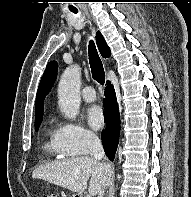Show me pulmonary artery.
<instances>
[{
	"mask_svg": "<svg viewBox=\"0 0 191 197\" xmlns=\"http://www.w3.org/2000/svg\"><path fill=\"white\" fill-rule=\"evenodd\" d=\"M82 98L85 102H94L96 100V94L91 86H86L82 90Z\"/></svg>",
	"mask_w": 191,
	"mask_h": 197,
	"instance_id": "e3ab8cb5",
	"label": "pulmonary artery"
}]
</instances>
